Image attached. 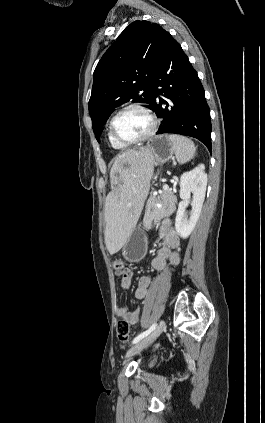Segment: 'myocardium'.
<instances>
[{
    "instance_id": "1",
    "label": "myocardium",
    "mask_w": 265,
    "mask_h": 423,
    "mask_svg": "<svg viewBox=\"0 0 265 423\" xmlns=\"http://www.w3.org/2000/svg\"><path fill=\"white\" fill-rule=\"evenodd\" d=\"M128 110H138V111L143 112L149 118V120L151 122V126H150V129L148 130V132L146 134H144L143 136H141L140 138H137L135 140L122 139L115 132V121H116V119L122 113H124ZM157 128H158V119L155 116V114L152 112V110L150 108H148L147 106L140 104V103H131V104L125 105L122 108H120L114 114V116L111 118L110 124H109V132H110L112 138L114 140H116L117 142H119L120 144L125 145V146L135 145V144H139L141 142L146 141L147 139H149L150 137H152L156 133Z\"/></svg>"
}]
</instances>
